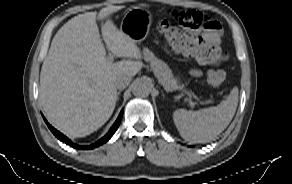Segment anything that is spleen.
<instances>
[{
  "mask_svg": "<svg viewBox=\"0 0 292 184\" xmlns=\"http://www.w3.org/2000/svg\"><path fill=\"white\" fill-rule=\"evenodd\" d=\"M238 105V88L215 107L198 111L177 109L173 120L181 137L190 143H206L215 139L231 122Z\"/></svg>",
  "mask_w": 292,
  "mask_h": 184,
  "instance_id": "3e777b00",
  "label": "spleen"
}]
</instances>
